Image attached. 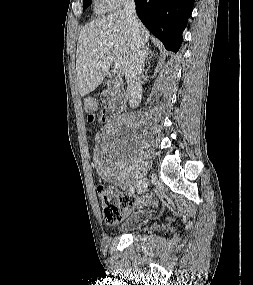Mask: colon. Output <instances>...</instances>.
Masks as SVG:
<instances>
[{
    "label": "colon",
    "mask_w": 253,
    "mask_h": 285,
    "mask_svg": "<svg viewBox=\"0 0 253 285\" xmlns=\"http://www.w3.org/2000/svg\"><path fill=\"white\" fill-rule=\"evenodd\" d=\"M86 110L88 112V122L94 124L97 120L96 103L94 101H88L86 103ZM97 194L101 201L104 219L110 224L117 223L133 206L131 196L109 189L102 184L97 185Z\"/></svg>",
    "instance_id": "5ec220e1"
}]
</instances>
